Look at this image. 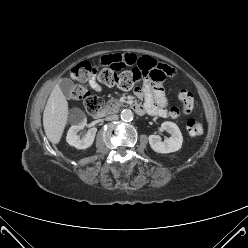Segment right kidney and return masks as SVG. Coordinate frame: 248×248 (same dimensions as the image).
Returning a JSON list of instances; mask_svg holds the SVG:
<instances>
[{"label": "right kidney", "instance_id": "ca27d5eb", "mask_svg": "<svg viewBox=\"0 0 248 248\" xmlns=\"http://www.w3.org/2000/svg\"><path fill=\"white\" fill-rule=\"evenodd\" d=\"M72 126L67 133V143L77 149H86L90 147L95 139L97 128H90L83 139L78 136V132L82 130L87 122L85 114L78 109H74L71 113Z\"/></svg>", "mask_w": 248, "mask_h": 248}]
</instances>
